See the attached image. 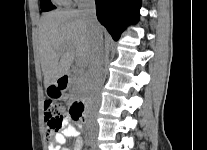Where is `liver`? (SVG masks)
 <instances>
[{
	"instance_id": "1",
	"label": "liver",
	"mask_w": 207,
	"mask_h": 150,
	"mask_svg": "<svg viewBox=\"0 0 207 150\" xmlns=\"http://www.w3.org/2000/svg\"><path fill=\"white\" fill-rule=\"evenodd\" d=\"M98 31L102 34L99 24ZM38 34L45 87L68 74L75 57L88 64L93 34L79 10H57L44 14Z\"/></svg>"
}]
</instances>
